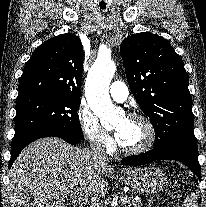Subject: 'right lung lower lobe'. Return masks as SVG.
Masks as SVG:
<instances>
[{
  "mask_svg": "<svg viewBox=\"0 0 206 207\" xmlns=\"http://www.w3.org/2000/svg\"><path fill=\"white\" fill-rule=\"evenodd\" d=\"M50 136L62 138L63 140H65L69 144H77L82 140V139H78V138H73L69 135H66V134L58 132V131H43V132L33 134L30 137L26 138L25 140L21 141L19 144L12 145L11 158L9 161V168L11 167V165L13 164V162L15 161V159L17 158L19 153L24 149V147L26 145H28L29 143H31L37 139H40L43 137H50Z\"/></svg>",
  "mask_w": 206,
  "mask_h": 207,
  "instance_id": "right-lung-lower-lobe-1",
  "label": "right lung lower lobe"
}]
</instances>
